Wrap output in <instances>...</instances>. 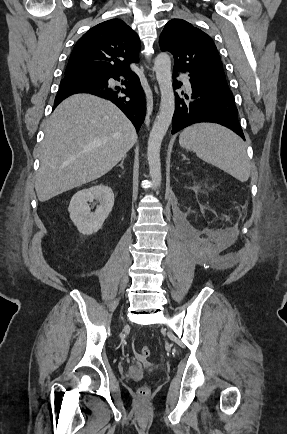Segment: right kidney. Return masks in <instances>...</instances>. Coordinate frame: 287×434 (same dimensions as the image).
Returning a JSON list of instances; mask_svg holds the SVG:
<instances>
[{
	"label": "right kidney",
	"instance_id": "ca27d5eb",
	"mask_svg": "<svg viewBox=\"0 0 287 434\" xmlns=\"http://www.w3.org/2000/svg\"><path fill=\"white\" fill-rule=\"evenodd\" d=\"M98 201L95 212H91L88 202ZM114 205V194L110 187L97 185L78 191L72 197L68 211L70 218L80 233H96L109 216Z\"/></svg>",
	"mask_w": 287,
	"mask_h": 434
}]
</instances>
